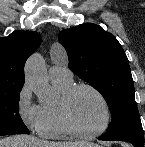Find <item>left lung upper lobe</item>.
Listing matches in <instances>:
<instances>
[{"label":"left lung upper lobe","mask_w":145,"mask_h":147,"mask_svg":"<svg viewBox=\"0 0 145 147\" xmlns=\"http://www.w3.org/2000/svg\"><path fill=\"white\" fill-rule=\"evenodd\" d=\"M69 69L105 98L112 120L103 137L144 143L127 56L118 40L102 27L85 23L59 33Z\"/></svg>","instance_id":"left-lung-upper-lobe-1"}]
</instances>
